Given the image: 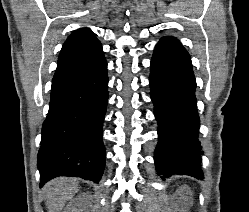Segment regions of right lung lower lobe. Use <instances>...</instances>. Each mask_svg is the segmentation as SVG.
<instances>
[{
	"instance_id": "98d812e1",
	"label": "right lung lower lobe",
	"mask_w": 249,
	"mask_h": 212,
	"mask_svg": "<svg viewBox=\"0 0 249 212\" xmlns=\"http://www.w3.org/2000/svg\"><path fill=\"white\" fill-rule=\"evenodd\" d=\"M107 88L104 54L80 68L54 75L38 153L40 186L58 176L99 182L106 157L102 127Z\"/></svg>"
}]
</instances>
